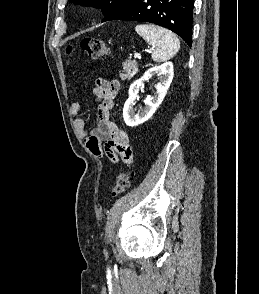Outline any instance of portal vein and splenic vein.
Listing matches in <instances>:
<instances>
[{"label": "portal vein and splenic vein", "instance_id": "18ae733b", "mask_svg": "<svg viewBox=\"0 0 259 294\" xmlns=\"http://www.w3.org/2000/svg\"><path fill=\"white\" fill-rule=\"evenodd\" d=\"M134 58H135V59H136V58H138V59H139V58H141V56H140V54H139V53H135V54H134Z\"/></svg>", "mask_w": 259, "mask_h": 294}]
</instances>
